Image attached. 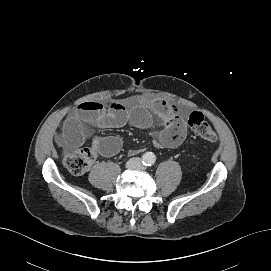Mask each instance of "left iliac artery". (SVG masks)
Instances as JSON below:
<instances>
[{
  "label": "left iliac artery",
  "instance_id": "44dca946",
  "mask_svg": "<svg viewBox=\"0 0 271 271\" xmlns=\"http://www.w3.org/2000/svg\"><path fill=\"white\" fill-rule=\"evenodd\" d=\"M153 163H154V159L151 158V159L149 160V162H148V165L151 166V165H153Z\"/></svg>",
  "mask_w": 271,
  "mask_h": 271
}]
</instances>
